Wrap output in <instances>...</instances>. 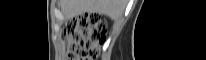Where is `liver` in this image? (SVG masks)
Segmentation results:
<instances>
[{
	"label": "liver",
	"instance_id": "liver-1",
	"mask_svg": "<svg viewBox=\"0 0 206 60\" xmlns=\"http://www.w3.org/2000/svg\"><path fill=\"white\" fill-rule=\"evenodd\" d=\"M125 0H61V7L68 17L82 13H98L117 20L125 8Z\"/></svg>",
	"mask_w": 206,
	"mask_h": 60
}]
</instances>
